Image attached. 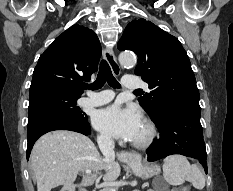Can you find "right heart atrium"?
I'll return each instance as SVG.
<instances>
[{
  "label": "right heart atrium",
  "mask_w": 233,
  "mask_h": 191,
  "mask_svg": "<svg viewBox=\"0 0 233 191\" xmlns=\"http://www.w3.org/2000/svg\"><path fill=\"white\" fill-rule=\"evenodd\" d=\"M97 140L98 144L103 148L109 147L112 144L111 138L105 134H99Z\"/></svg>",
  "instance_id": "right-heart-atrium-1"
}]
</instances>
